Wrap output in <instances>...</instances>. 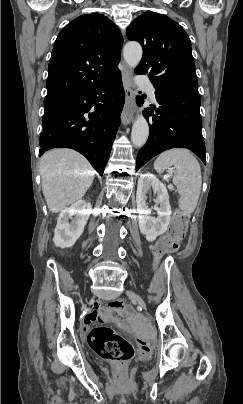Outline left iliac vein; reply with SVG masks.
Returning <instances> with one entry per match:
<instances>
[{"mask_svg": "<svg viewBox=\"0 0 243 404\" xmlns=\"http://www.w3.org/2000/svg\"><path fill=\"white\" fill-rule=\"evenodd\" d=\"M126 294L132 299L138 302L140 306H142L144 309L146 308V303L145 301L135 292L133 291H126Z\"/></svg>", "mask_w": 243, "mask_h": 404, "instance_id": "1", "label": "left iliac vein"}]
</instances>
